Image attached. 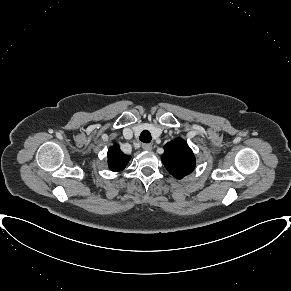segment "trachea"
<instances>
[{"label":"trachea","mask_w":291,"mask_h":291,"mask_svg":"<svg viewBox=\"0 0 291 291\" xmlns=\"http://www.w3.org/2000/svg\"><path fill=\"white\" fill-rule=\"evenodd\" d=\"M140 141L144 143H150L151 142V133L148 130H144L140 134Z\"/></svg>","instance_id":"1"}]
</instances>
